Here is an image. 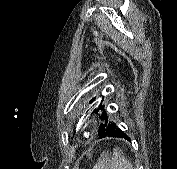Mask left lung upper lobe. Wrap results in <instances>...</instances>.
Here are the masks:
<instances>
[{
    "label": "left lung upper lobe",
    "instance_id": "left-lung-upper-lobe-1",
    "mask_svg": "<svg viewBox=\"0 0 177 169\" xmlns=\"http://www.w3.org/2000/svg\"><path fill=\"white\" fill-rule=\"evenodd\" d=\"M94 100H95V98H93L92 100H90L89 103H92ZM102 118L105 120V122L100 124L99 131H98V135H99V136L102 135V134H104V132H105L107 126H108V125L110 126L111 123H112V122H108L107 114H106V113H104V114L102 115Z\"/></svg>",
    "mask_w": 177,
    "mask_h": 169
}]
</instances>
